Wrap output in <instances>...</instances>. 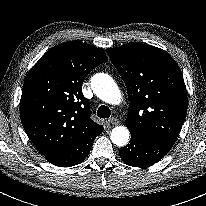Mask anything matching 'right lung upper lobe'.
<instances>
[{
  "label": "right lung upper lobe",
  "instance_id": "right-lung-upper-lobe-1",
  "mask_svg": "<svg viewBox=\"0 0 206 206\" xmlns=\"http://www.w3.org/2000/svg\"><path fill=\"white\" fill-rule=\"evenodd\" d=\"M108 61L102 49L64 42L47 51L24 81L21 122L44 156L66 150L103 129L91 120L82 84L89 72Z\"/></svg>",
  "mask_w": 206,
  "mask_h": 206
}]
</instances>
